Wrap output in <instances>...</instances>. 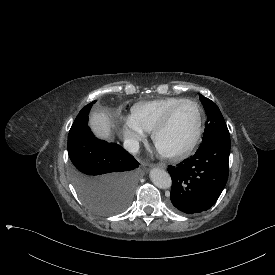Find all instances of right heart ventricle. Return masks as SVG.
Masks as SVG:
<instances>
[{"mask_svg": "<svg viewBox=\"0 0 275 275\" xmlns=\"http://www.w3.org/2000/svg\"><path fill=\"white\" fill-rule=\"evenodd\" d=\"M184 100L180 97H166L136 104L131 108L129 120L142 131L150 133L175 104Z\"/></svg>", "mask_w": 275, "mask_h": 275, "instance_id": "1", "label": "right heart ventricle"}]
</instances>
